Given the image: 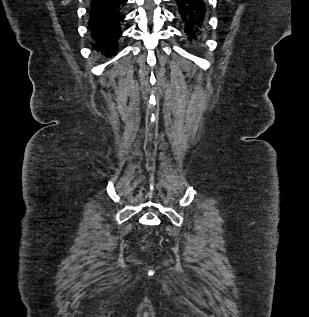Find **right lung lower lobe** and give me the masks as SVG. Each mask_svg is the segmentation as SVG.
I'll use <instances>...</instances> for the list:
<instances>
[{"label": "right lung lower lobe", "instance_id": "98d812e1", "mask_svg": "<svg viewBox=\"0 0 309 317\" xmlns=\"http://www.w3.org/2000/svg\"><path fill=\"white\" fill-rule=\"evenodd\" d=\"M127 0H92L88 22L92 46L106 56L118 51Z\"/></svg>", "mask_w": 309, "mask_h": 317}]
</instances>
